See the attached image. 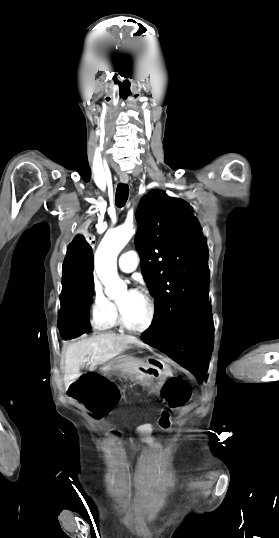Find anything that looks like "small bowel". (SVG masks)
Segmentation results:
<instances>
[{
	"instance_id": "obj_1",
	"label": "small bowel",
	"mask_w": 279,
	"mask_h": 538,
	"mask_svg": "<svg viewBox=\"0 0 279 538\" xmlns=\"http://www.w3.org/2000/svg\"><path fill=\"white\" fill-rule=\"evenodd\" d=\"M151 389L167 405V409L161 414L159 424L163 429H169L171 427L170 412L185 406L191 398L192 394L188 388V384L186 380L180 377L160 376L159 379L151 385ZM139 432L144 435L148 441H154L152 436L153 426L151 424L143 425L139 428Z\"/></svg>"
}]
</instances>
